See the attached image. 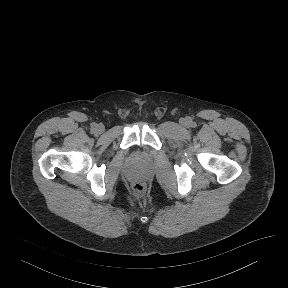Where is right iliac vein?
<instances>
[{
  "label": "right iliac vein",
  "mask_w": 288,
  "mask_h": 288,
  "mask_svg": "<svg viewBox=\"0 0 288 288\" xmlns=\"http://www.w3.org/2000/svg\"><path fill=\"white\" fill-rule=\"evenodd\" d=\"M104 126L102 125V124H99V125H97V127H96V130L99 132V133H102L103 131H104Z\"/></svg>",
  "instance_id": "obj_1"
}]
</instances>
